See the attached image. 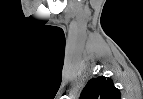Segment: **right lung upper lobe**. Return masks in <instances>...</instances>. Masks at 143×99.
I'll return each mask as SVG.
<instances>
[{
	"instance_id": "1",
	"label": "right lung upper lobe",
	"mask_w": 143,
	"mask_h": 99,
	"mask_svg": "<svg viewBox=\"0 0 143 99\" xmlns=\"http://www.w3.org/2000/svg\"><path fill=\"white\" fill-rule=\"evenodd\" d=\"M80 99H121V93L111 78L101 76L88 81Z\"/></svg>"
}]
</instances>
